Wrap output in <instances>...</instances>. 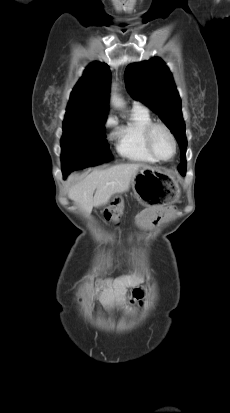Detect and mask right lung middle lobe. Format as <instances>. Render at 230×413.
<instances>
[{"label":"right lung middle lobe","mask_w":230,"mask_h":413,"mask_svg":"<svg viewBox=\"0 0 230 413\" xmlns=\"http://www.w3.org/2000/svg\"><path fill=\"white\" fill-rule=\"evenodd\" d=\"M106 117L63 124L62 170L64 174L110 161L113 156L105 139Z\"/></svg>","instance_id":"right-lung-middle-lobe-1"}]
</instances>
